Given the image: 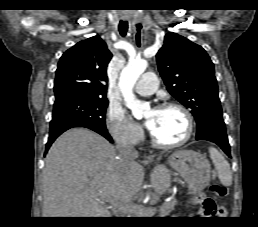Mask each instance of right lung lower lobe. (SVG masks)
I'll return each instance as SVG.
<instances>
[{
	"label": "right lung lower lobe",
	"instance_id": "98d812e1",
	"mask_svg": "<svg viewBox=\"0 0 258 227\" xmlns=\"http://www.w3.org/2000/svg\"><path fill=\"white\" fill-rule=\"evenodd\" d=\"M73 127H85L82 124H79L77 122L66 120V119H54L50 123V132H49V138L48 142L46 144V152L50 148L51 144L54 142V140L62 134L64 131L73 128ZM87 128V127H86ZM91 129V128H89ZM100 135L104 136L106 139H108L110 142H113L111 136L109 135L107 130H96L91 129Z\"/></svg>",
	"mask_w": 258,
	"mask_h": 227
}]
</instances>
